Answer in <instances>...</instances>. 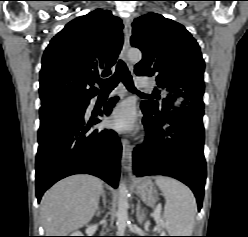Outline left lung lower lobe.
Wrapping results in <instances>:
<instances>
[{"label": "left lung lower lobe", "instance_id": "0a47b994", "mask_svg": "<svg viewBox=\"0 0 248 237\" xmlns=\"http://www.w3.org/2000/svg\"><path fill=\"white\" fill-rule=\"evenodd\" d=\"M141 108L147 136L133 151L134 174L165 175L180 180L192 189L200 210L206 180L203 109L178 107L158 120L146 107Z\"/></svg>", "mask_w": 248, "mask_h": 237}]
</instances>
